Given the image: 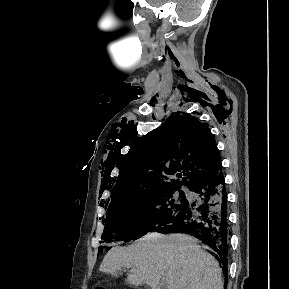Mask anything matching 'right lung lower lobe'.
<instances>
[{"mask_svg":"<svg viewBox=\"0 0 289 289\" xmlns=\"http://www.w3.org/2000/svg\"><path fill=\"white\" fill-rule=\"evenodd\" d=\"M190 190L197 194V199L188 201L180 212L153 231L183 232L195 236L215 252L227 279L230 227L222 171L200 180Z\"/></svg>","mask_w":289,"mask_h":289,"instance_id":"1","label":"right lung lower lobe"}]
</instances>
